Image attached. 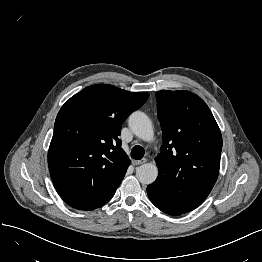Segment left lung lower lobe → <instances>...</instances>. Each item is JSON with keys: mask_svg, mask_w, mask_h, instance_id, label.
<instances>
[{"mask_svg": "<svg viewBox=\"0 0 262 262\" xmlns=\"http://www.w3.org/2000/svg\"><path fill=\"white\" fill-rule=\"evenodd\" d=\"M148 196H149V199L151 200V202L158 208L160 209L161 211L169 214V215H172V216H178V215H181L183 213H180L178 211H175L171 208H169L163 201H161L160 199L156 198L155 196H153L152 194H150L148 191Z\"/></svg>", "mask_w": 262, "mask_h": 262, "instance_id": "obj_1", "label": "left lung lower lobe"}]
</instances>
